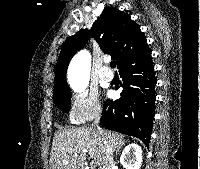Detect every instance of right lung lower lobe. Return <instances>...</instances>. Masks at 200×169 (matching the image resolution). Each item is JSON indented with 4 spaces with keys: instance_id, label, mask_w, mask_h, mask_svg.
<instances>
[{
    "instance_id": "98d812e1",
    "label": "right lung lower lobe",
    "mask_w": 200,
    "mask_h": 169,
    "mask_svg": "<svg viewBox=\"0 0 200 169\" xmlns=\"http://www.w3.org/2000/svg\"><path fill=\"white\" fill-rule=\"evenodd\" d=\"M119 73L123 79L121 98L105 101L100 123L107 129L137 137L148 146L156 98L151 52L126 63Z\"/></svg>"
}]
</instances>
